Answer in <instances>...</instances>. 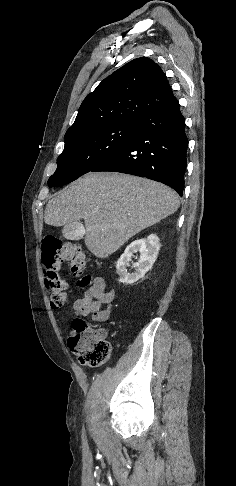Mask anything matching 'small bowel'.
<instances>
[{
    "label": "small bowel",
    "instance_id": "1",
    "mask_svg": "<svg viewBox=\"0 0 236 486\" xmlns=\"http://www.w3.org/2000/svg\"><path fill=\"white\" fill-rule=\"evenodd\" d=\"M114 298L115 292L107 288L105 280L95 277L92 286L75 300L73 310L77 316H90L94 322H105L111 316ZM99 332L106 337V330L100 329Z\"/></svg>",
    "mask_w": 236,
    "mask_h": 486
}]
</instances>
